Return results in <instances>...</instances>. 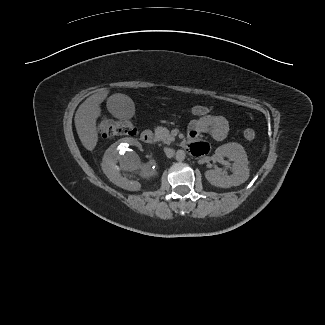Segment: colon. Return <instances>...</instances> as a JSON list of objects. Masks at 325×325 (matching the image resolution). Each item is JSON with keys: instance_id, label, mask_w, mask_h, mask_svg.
Here are the masks:
<instances>
[{"instance_id": "colon-1", "label": "colon", "mask_w": 325, "mask_h": 325, "mask_svg": "<svg viewBox=\"0 0 325 325\" xmlns=\"http://www.w3.org/2000/svg\"><path fill=\"white\" fill-rule=\"evenodd\" d=\"M188 113L195 118H202L213 113V107L204 105H193L188 108ZM98 132L103 138H111L119 135L133 136L136 134V128L130 121H118L110 118H103L98 123ZM244 137L253 140L256 136L252 128H246L243 132Z\"/></svg>"}]
</instances>
